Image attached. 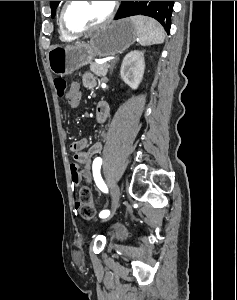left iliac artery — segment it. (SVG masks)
<instances>
[{"mask_svg": "<svg viewBox=\"0 0 237 300\" xmlns=\"http://www.w3.org/2000/svg\"><path fill=\"white\" fill-rule=\"evenodd\" d=\"M101 164H102V159L100 157L95 158V160L93 161V165H92V170H93V176H94V180L96 185L98 186V188L103 191L104 193H108V189L106 184L104 183L101 174H100V168H101ZM110 214L109 210H103L100 212L99 217L100 218H107Z\"/></svg>", "mask_w": 237, "mask_h": 300, "instance_id": "1", "label": "left iliac artery"}]
</instances>
